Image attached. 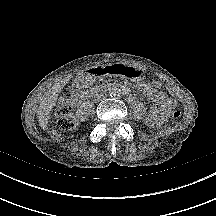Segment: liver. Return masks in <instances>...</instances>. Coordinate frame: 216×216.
Instances as JSON below:
<instances>
[{
	"label": "liver",
	"instance_id": "obj_1",
	"mask_svg": "<svg viewBox=\"0 0 216 216\" xmlns=\"http://www.w3.org/2000/svg\"><path fill=\"white\" fill-rule=\"evenodd\" d=\"M63 86L64 84H57L54 86L52 91L46 93L44 99L39 105L37 112L38 123L44 131L48 129L51 119V111L56 105V100Z\"/></svg>",
	"mask_w": 216,
	"mask_h": 216
}]
</instances>
